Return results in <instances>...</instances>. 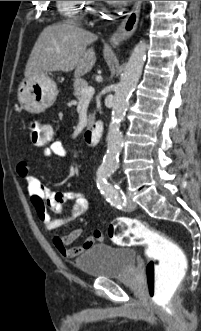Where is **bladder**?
Returning a JSON list of instances; mask_svg holds the SVG:
<instances>
[{
	"instance_id": "1",
	"label": "bladder",
	"mask_w": 201,
	"mask_h": 331,
	"mask_svg": "<svg viewBox=\"0 0 201 331\" xmlns=\"http://www.w3.org/2000/svg\"><path fill=\"white\" fill-rule=\"evenodd\" d=\"M135 261L132 248L98 243L78 256L75 266L89 278L114 279L126 276Z\"/></svg>"
}]
</instances>
